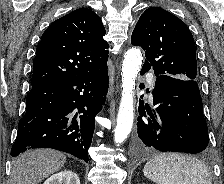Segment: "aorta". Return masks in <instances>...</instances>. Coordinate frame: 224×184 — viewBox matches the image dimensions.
Wrapping results in <instances>:
<instances>
[{"mask_svg": "<svg viewBox=\"0 0 224 184\" xmlns=\"http://www.w3.org/2000/svg\"><path fill=\"white\" fill-rule=\"evenodd\" d=\"M142 53L137 48L126 51L122 64V97L114 131L116 144L123 143L131 132L134 119L135 80L142 64Z\"/></svg>", "mask_w": 224, "mask_h": 184, "instance_id": "762f6f07", "label": "aorta"}]
</instances>
